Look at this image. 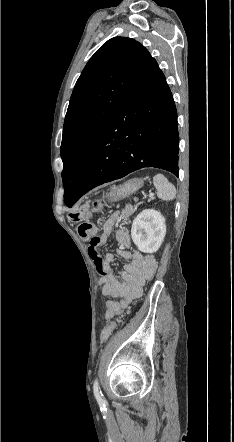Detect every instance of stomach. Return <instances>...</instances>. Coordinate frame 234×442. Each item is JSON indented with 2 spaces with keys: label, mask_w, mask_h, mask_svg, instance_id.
Wrapping results in <instances>:
<instances>
[{
  "label": "stomach",
  "mask_w": 234,
  "mask_h": 442,
  "mask_svg": "<svg viewBox=\"0 0 234 442\" xmlns=\"http://www.w3.org/2000/svg\"><path fill=\"white\" fill-rule=\"evenodd\" d=\"M143 182V179L134 178L128 180L122 185L113 186L110 188L109 192H107L105 199L108 202H116L122 200L139 190L143 186ZM89 203L90 201L85 202L77 211L69 214V221L80 222L88 220L90 217H92Z\"/></svg>",
  "instance_id": "obj_1"
}]
</instances>
